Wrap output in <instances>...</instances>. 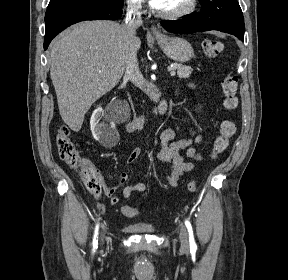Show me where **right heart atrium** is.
I'll return each instance as SVG.
<instances>
[{
	"instance_id": "right-heart-atrium-1",
	"label": "right heart atrium",
	"mask_w": 288,
	"mask_h": 280,
	"mask_svg": "<svg viewBox=\"0 0 288 280\" xmlns=\"http://www.w3.org/2000/svg\"><path fill=\"white\" fill-rule=\"evenodd\" d=\"M127 7L132 12H140L144 7V0H126Z\"/></svg>"
}]
</instances>
